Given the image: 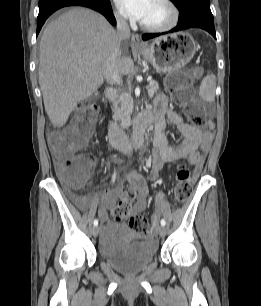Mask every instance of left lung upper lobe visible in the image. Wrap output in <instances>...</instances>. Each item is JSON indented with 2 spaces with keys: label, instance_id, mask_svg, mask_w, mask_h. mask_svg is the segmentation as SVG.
<instances>
[{
  "label": "left lung upper lobe",
  "instance_id": "1",
  "mask_svg": "<svg viewBox=\"0 0 261 306\" xmlns=\"http://www.w3.org/2000/svg\"><path fill=\"white\" fill-rule=\"evenodd\" d=\"M174 5L179 9H185L192 5H203L210 8V0H171Z\"/></svg>",
  "mask_w": 261,
  "mask_h": 306
}]
</instances>
